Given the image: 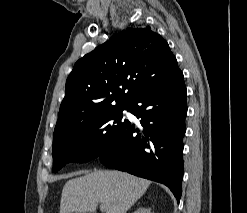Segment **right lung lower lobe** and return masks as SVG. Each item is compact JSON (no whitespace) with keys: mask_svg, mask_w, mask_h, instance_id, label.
<instances>
[{"mask_svg":"<svg viewBox=\"0 0 247 213\" xmlns=\"http://www.w3.org/2000/svg\"><path fill=\"white\" fill-rule=\"evenodd\" d=\"M186 95L178 67L141 90L129 102V112L141 118L140 126L128 121L113 148L98 156L100 161L109 168L165 184L179 202Z\"/></svg>","mask_w":247,"mask_h":213,"instance_id":"right-lung-lower-lobe-1","label":"right lung lower lobe"}]
</instances>
